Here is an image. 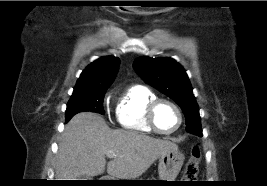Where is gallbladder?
<instances>
[{"label": "gallbladder", "instance_id": "obj_1", "mask_svg": "<svg viewBox=\"0 0 267 186\" xmlns=\"http://www.w3.org/2000/svg\"><path fill=\"white\" fill-rule=\"evenodd\" d=\"M88 178L86 176L80 178V180H87Z\"/></svg>", "mask_w": 267, "mask_h": 186}]
</instances>
